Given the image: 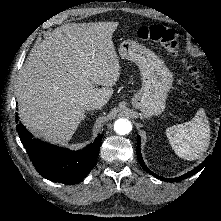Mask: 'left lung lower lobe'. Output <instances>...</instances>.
I'll use <instances>...</instances> for the list:
<instances>
[{
	"instance_id": "0a47b994",
	"label": "left lung lower lobe",
	"mask_w": 221,
	"mask_h": 221,
	"mask_svg": "<svg viewBox=\"0 0 221 221\" xmlns=\"http://www.w3.org/2000/svg\"><path fill=\"white\" fill-rule=\"evenodd\" d=\"M136 151H137V159L140 163V165L142 166V168L148 172L149 174L163 180V181H167V182H177V181H181L183 179H186L192 175H194L195 173L199 172L204 166H205V163H206V160L200 164L197 168L193 169L192 171H189L188 173L180 176V177H177V178H174V179H167V178H163L161 176H158L156 174H154L153 172H151L147 166L145 165L144 161H143V158H142V155H141V151H140V136L137 137V148H136Z\"/></svg>"
}]
</instances>
